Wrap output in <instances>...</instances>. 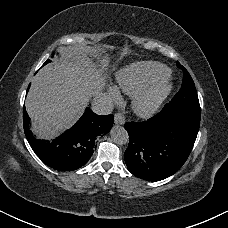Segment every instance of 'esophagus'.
<instances>
[{"label": "esophagus", "instance_id": "esophagus-1", "mask_svg": "<svg viewBox=\"0 0 228 228\" xmlns=\"http://www.w3.org/2000/svg\"><path fill=\"white\" fill-rule=\"evenodd\" d=\"M114 121L115 124L123 125L125 123V118L120 113H117L115 114Z\"/></svg>", "mask_w": 228, "mask_h": 228}]
</instances>
